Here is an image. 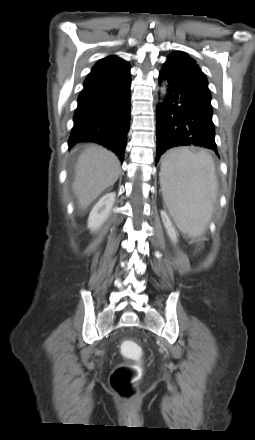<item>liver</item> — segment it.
<instances>
[{"mask_svg":"<svg viewBox=\"0 0 255 440\" xmlns=\"http://www.w3.org/2000/svg\"><path fill=\"white\" fill-rule=\"evenodd\" d=\"M120 161L111 151L99 145H90L80 154L76 168L73 191L81 209H86L120 174Z\"/></svg>","mask_w":255,"mask_h":440,"instance_id":"liver-1","label":"liver"}]
</instances>
